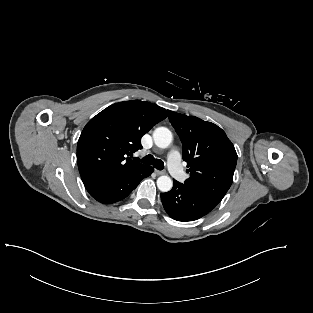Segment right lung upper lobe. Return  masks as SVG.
<instances>
[{"instance_id":"cb5924a9","label":"right lung upper lobe","mask_w":313,"mask_h":313,"mask_svg":"<svg viewBox=\"0 0 313 313\" xmlns=\"http://www.w3.org/2000/svg\"><path fill=\"white\" fill-rule=\"evenodd\" d=\"M169 110L140 100L115 103L84 127L77 145V163L83 183L115 178L146 165L132 160L142 148L140 139Z\"/></svg>"}]
</instances>
